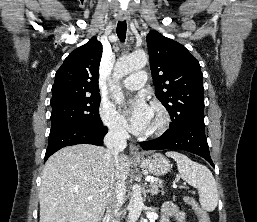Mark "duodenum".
Here are the masks:
<instances>
[{"mask_svg": "<svg viewBox=\"0 0 257 222\" xmlns=\"http://www.w3.org/2000/svg\"><path fill=\"white\" fill-rule=\"evenodd\" d=\"M99 222H104V220H103V219H101Z\"/></svg>", "mask_w": 257, "mask_h": 222, "instance_id": "1", "label": "duodenum"}]
</instances>
